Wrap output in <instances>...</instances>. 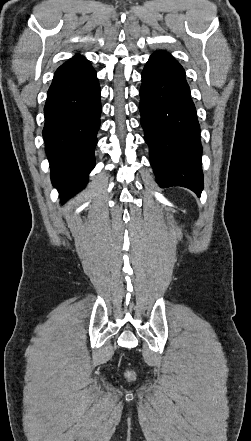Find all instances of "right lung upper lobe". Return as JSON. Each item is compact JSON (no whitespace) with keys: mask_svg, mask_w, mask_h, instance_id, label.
<instances>
[{"mask_svg":"<svg viewBox=\"0 0 251 441\" xmlns=\"http://www.w3.org/2000/svg\"><path fill=\"white\" fill-rule=\"evenodd\" d=\"M91 65L89 63V61L87 59H85L84 57L77 55L71 59H69L66 63H64L63 65H61L58 70L63 69V70H69V69H74V68H79V67H86Z\"/></svg>","mask_w":251,"mask_h":441,"instance_id":"1","label":"right lung upper lobe"}]
</instances>
